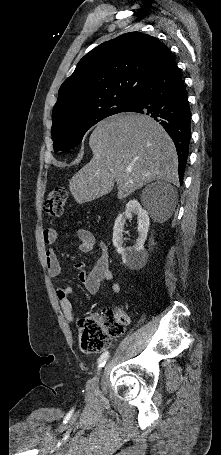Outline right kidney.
Masks as SVG:
<instances>
[{"mask_svg":"<svg viewBox=\"0 0 221 455\" xmlns=\"http://www.w3.org/2000/svg\"><path fill=\"white\" fill-rule=\"evenodd\" d=\"M132 214L137 215L139 236L134 246L124 248L122 246L124 225L127 219L132 218ZM149 224L148 212L142 208L136 199L130 200L126 205L125 212L120 214L115 220L112 239L113 245L121 255L123 263L130 268L137 267L147 258L144 243L147 239Z\"/></svg>","mask_w":221,"mask_h":455,"instance_id":"right-kidney-1","label":"right kidney"}]
</instances>
